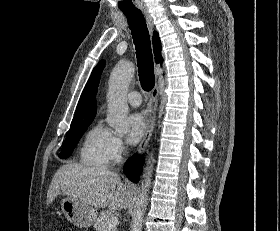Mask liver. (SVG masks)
<instances>
[{
	"label": "liver",
	"mask_w": 280,
	"mask_h": 231,
	"mask_svg": "<svg viewBox=\"0 0 280 231\" xmlns=\"http://www.w3.org/2000/svg\"><path fill=\"white\" fill-rule=\"evenodd\" d=\"M130 191L128 185L121 183L116 171L67 163L57 169L47 191V203L49 205L59 193H64L93 207L97 217L99 207H109V211L126 207Z\"/></svg>",
	"instance_id": "1"
}]
</instances>
